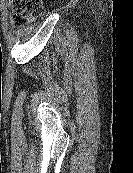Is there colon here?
Returning a JSON list of instances; mask_svg holds the SVG:
<instances>
[{
	"label": "colon",
	"mask_w": 133,
	"mask_h": 173,
	"mask_svg": "<svg viewBox=\"0 0 133 173\" xmlns=\"http://www.w3.org/2000/svg\"><path fill=\"white\" fill-rule=\"evenodd\" d=\"M9 3L15 12L13 21L16 25H23L43 13L42 0H10Z\"/></svg>",
	"instance_id": "1"
}]
</instances>
